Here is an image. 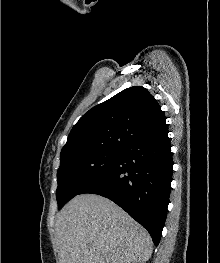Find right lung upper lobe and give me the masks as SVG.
Masks as SVG:
<instances>
[{"label":"right lung upper lobe","instance_id":"cb5924a9","mask_svg":"<svg viewBox=\"0 0 220 263\" xmlns=\"http://www.w3.org/2000/svg\"><path fill=\"white\" fill-rule=\"evenodd\" d=\"M167 132L157 101L144 87L134 86L86 112L69 133L61 155L93 148L124 149L138 139Z\"/></svg>","mask_w":220,"mask_h":263}]
</instances>
